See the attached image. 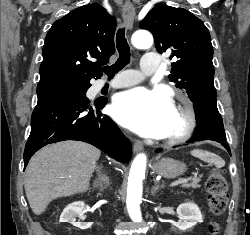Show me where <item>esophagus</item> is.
<instances>
[{"label": "esophagus", "mask_w": 250, "mask_h": 235, "mask_svg": "<svg viewBox=\"0 0 250 235\" xmlns=\"http://www.w3.org/2000/svg\"><path fill=\"white\" fill-rule=\"evenodd\" d=\"M122 16L124 24L128 30H131L135 17V9L131 4H126L122 9ZM143 149L141 141L136 140L133 144V150L135 153L140 152Z\"/></svg>", "instance_id": "34e87169"}]
</instances>
